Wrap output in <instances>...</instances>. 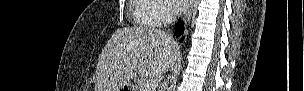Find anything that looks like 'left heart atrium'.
<instances>
[{
    "label": "left heart atrium",
    "instance_id": "1",
    "mask_svg": "<svg viewBox=\"0 0 304 91\" xmlns=\"http://www.w3.org/2000/svg\"><path fill=\"white\" fill-rule=\"evenodd\" d=\"M169 2L171 4L172 8L176 12H183L188 9L191 1L190 0H170Z\"/></svg>",
    "mask_w": 304,
    "mask_h": 91
}]
</instances>
